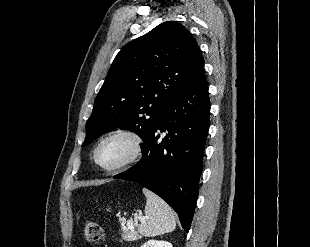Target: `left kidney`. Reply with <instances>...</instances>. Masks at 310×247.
I'll return each mask as SVG.
<instances>
[{
  "label": "left kidney",
  "mask_w": 310,
  "mask_h": 247,
  "mask_svg": "<svg viewBox=\"0 0 310 247\" xmlns=\"http://www.w3.org/2000/svg\"><path fill=\"white\" fill-rule=\"evenodd\" d=\"M141 247H173L170 242L167 241H158V240H149L144 243Z\"/></svg>",
  "instance_id": "obj_1"
}]
</instances>
